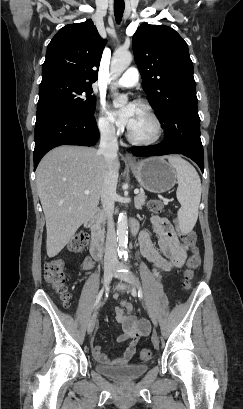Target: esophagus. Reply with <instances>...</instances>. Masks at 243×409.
Listing matches in <instances>:
<instances>
[{"mask_svg":"<svg viewBox=\"0 0 243 409\" xmlns=\"http://www.w3.org/2000/svg\"><path fill=\"white\" fill-rule=\"evenodd\" d=\"M125 161L126 162H129V163H135L136 161H135V158L131 155V154H129V153H126V155H125Z\"/></svg>","mask_w":243,"mask_h":409,"instance_id":"34e87169","label":"esophagus"}]
</instances>
